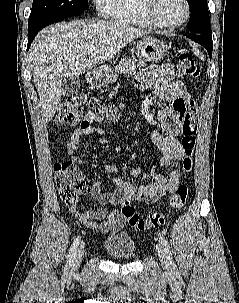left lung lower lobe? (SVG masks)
<instances>
[{"instance_id":"1","label":"left lung lower lobe","mask_w":239,"mask_h":303,"mask_svg":"<svg viewBox=\"0 0 239 303\" xmlns=\"http://www.w3.org/2000/svg\"><path fill=\"white\" fill-rule=\"evenodd\" d=\"M188 38L204 46L211 58L213 50L212 34H193L188 36Z\"/></svg>"}]
</instances>
